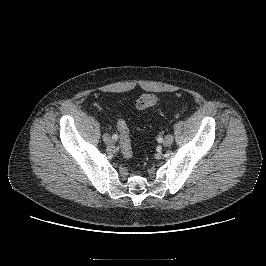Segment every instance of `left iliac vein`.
Masks as SVG:
<instances>
[{
    "mask_svg": "<svg viewBox=\"0 0 266 266\" xmlns=\"http://www.w3.org/2000/svg\"><path fill=\"white\" fill-rule=\"evenodd\" d=\"M173 140H174L173 136L171 134H168L164 138V140L162 141V143H163L164 146H170L173 143Z\"/></svg>",
    "mask_w": 266,
    "mask_h": 266,
    "instance_id": "4c4485c4",
    "label": "left iliac vein"
}]
</instances>
